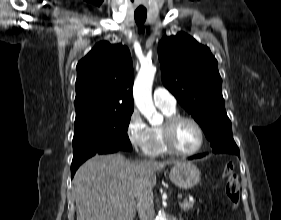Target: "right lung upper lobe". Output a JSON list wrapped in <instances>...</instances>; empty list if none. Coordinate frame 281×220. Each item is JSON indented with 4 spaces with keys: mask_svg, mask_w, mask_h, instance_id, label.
I'll use <instances>...</instances> for the list:
<instances>
[{
    "mask_svg": "<svg viewBox=\"0 0 281 220\" xmlns=\"http://www.w3.org/2000/svg\"><path fill=\"white\" fill-rule=\"evenodd\" d=\"M133 79L126 46L105 41L95 45L77 64L76 118L133 111Z\"/></svg>",
    "mask_w": 281,
    "mask_h": 220,
    "instance_id": "right-lung-upper-lobe-1",
    "label": "right lung upper lobe"
}]
</instances>
